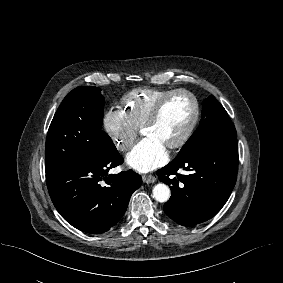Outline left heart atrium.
<instances>
[{
    "label": "left heart atrium",
    "instance_id": "left-heart-atrium-1",
    "mask_svg": "<svg viewBox=\"0 0 283 283\" xmlns=\"http://www.w3.org/2000/svg\"><path fill=\"white\" fill-rule=\"evenodd\" d=\"M167 158L166 146L147 136L127 155L126 160L133 169L146 173L162 166Z\"/></svg>",
    "mask_w": 283,
    "mask_h": 283
}]
</instances>
